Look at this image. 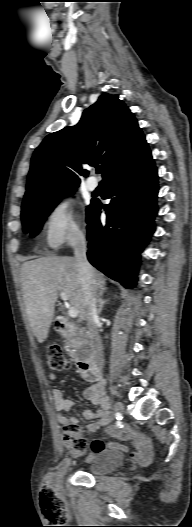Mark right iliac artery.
Listing matches in <instances>:
<instances>
[{
  "instance_id": "1",
  "label": "right iliac artery",
  "mask_w": 192,
  "mask_h": 527,
  "mask_svg": "<svg viewBox=\"0 0 192 527\" xmlns=\"http://www.w3.org/2000/svg\"><path fill=\"white\" fill-rule=\"evenodd\" d=\"M115 425L117 426L118 430H123V423L121 421L116 420Z\"/></svg>"
}]
</instances>
